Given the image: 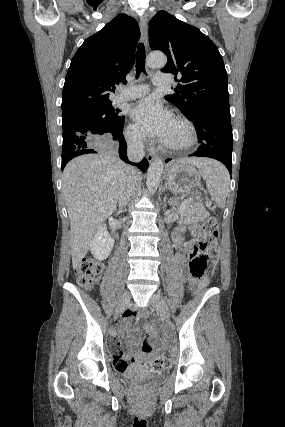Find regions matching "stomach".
I'll list each match as a JSON object with an SVG mask.
<instances>
[{
	"label": "stomach",
	"instance_id": "0dacf381",
	"mask_svg": "<svg viewBox=\"0 0 285 427\" xmlns=\"http://www.w3.org/2000/svg\"><path fill=\"white\" fill-rule=\"evenodd\" d=\"M166 177L170 188L179 194H193L200 186V175L191 164L174 162L166 169Z\"/></svg>",
	"mask_w": 285,
	"mask_h": 427
}]
</instances>
